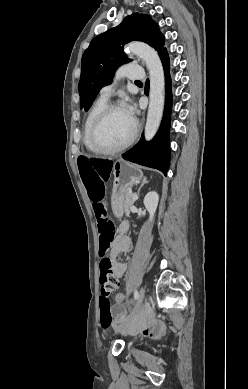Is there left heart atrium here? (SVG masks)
Wrapping results in <instances>:
<instances>
[{
    "label": "left heart atrium",
    "instance_id": "39dd6f15",
    "mask_svg": "<svg viewBox=\"0 0 248 389\" xmlns=\"http://www.w3.org/2000/svg\"><path fill=\"white\" fill-rule=\"evenodd\" d=\"M124 110L128 114V116L133 120V110H132V108L127 105Z\"/></svg>",
    "mask_w": 248,
    "mask_h": 389
}]
</instances>
